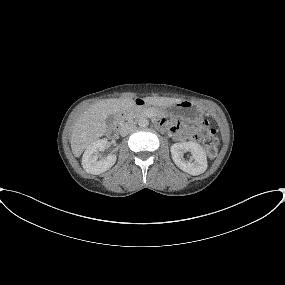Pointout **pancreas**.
Here are the masks:
<instances>
[{
    "label": "pancreas",
    "instance_id": "obj_1",
    "mask_svg": "<svg viewBox=\"0 0 285 285\" xmlns=\"http://www.w3.org/2000/svg\"><path fill=\"white\" fill-rule=\"evenodd\" d=\"M149 113L158 114L153 109H148V108H131L130 110L125 112L124 119L132 120V119H136V118H139V117H142V116H146Z\"/></svg>",
    "mask_w": 285,
    "mask_h": 285
}]
</instances>
